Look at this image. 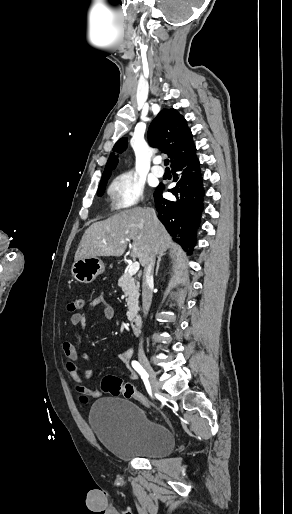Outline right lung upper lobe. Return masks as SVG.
<instances>
[{"instance_id":"right-lung-upper-lobe-1","label":"right lung upper lobe","mask_w":292,"mask_h":514,"mask_svg":"<svg viewBox=\"0 0 292 514\" xmlns=\"http://www.w3.org/2000/svg\"><path fill=\"white\" fill-rule=\"evenodd\" d=\"M148 140L152 147L159 148L170 158L171 168L178 162L196 153L192 133L187 121L175 109H163L152 121L148 129ZM127 147V139L121 138L113 151L122 153ZM118 163V157L110 154L101 181L109 179Z\"/></svg>"}]
</instances>
